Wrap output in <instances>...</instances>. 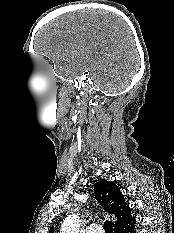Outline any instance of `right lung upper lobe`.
Masks as SVG:
<instances>
[{
    "mask_svg": "<svg viewBox=\"0 0 174 233\" xmlns=\"http://www.w3.org/2000/svg\"><path fill=\"white\" fill-rule=\"evenodd\" d=\"M94 194L104 210L116 217L115 233H121L136 222L130 214V208L125 202L123 194L114 182L100 180L94 186ZM49 233H53V227Z\"/></svg>",
    "mask_w": 174,
    "mask_h": 233,
    "instance_id": "obj_1",
    "label": "right lung upper lobe"
}]
</instances>
